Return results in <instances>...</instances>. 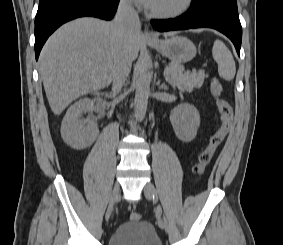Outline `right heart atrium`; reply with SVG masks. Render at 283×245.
Returning <instances> with one entry per match:
<instances>
[{"label": "right heart atrium", "instance_id": "d8ad5b80", "mask_svg": "<svg viewBox=\"0 0 283 245\" xmlns=\"http://www.w3.org/2000/svg\"><path fill=\"white\" fill-rule=\"evenodd\" d=\"M123 4L128 5L130 0H122Z\"/></svg>", "mask_w": 283, "mask_h": 245}]
</instances>
